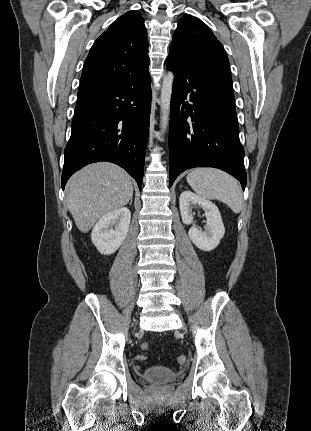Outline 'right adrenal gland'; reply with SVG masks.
I'll use <instances>...</instances> for the list:
<instances>
[{
  "label": "right adrenal gland",
  "mask_w": 311,
  "mask_h": 431,
  "mask_svg": "<svg viewBox=\"0 0 311 431\" xmlns=\"http://www.w3.org/2000/svg\"><path fill=\"white\" fill-rule=\"evenodd\" d=\"M132 202H133V200H132V198H131L130 206H132Z\"/></svg>",
  "instance_id": "obj_1"
}]
</instances>
